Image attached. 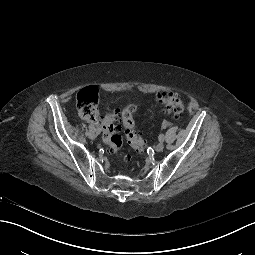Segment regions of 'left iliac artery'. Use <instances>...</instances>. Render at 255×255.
I'll return each mask as SVG.
<instances>
[{
	"mask_svg": "<svg viewBox=\"0 0 255 255\" xmlns=\"http://www.w3.org/2000/svg\"><path fill=\"white\" fill-rule=\"evenodd\" d=\"M159 141L160 142H163L164 141V134H160L159 137H158Z\"/></svg>",
	"mask_w": 255,
	"mask_h": 255,
	"instance_id": "1",
	"label": "left iliac artery"
}]
</instances>
